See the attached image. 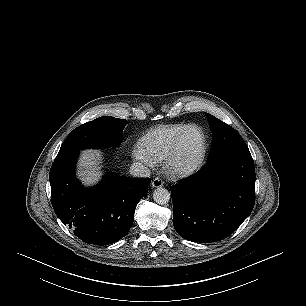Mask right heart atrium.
<instances>
[{
    "label": "right heart atrium",
    "instance_id": "obj_1",
    "mask_svg": "<svg viewBox=\"0 0 306 306\" xmlns=\"http://www.w3.org/2000/svg\"><path fill=\"white\" fill-rule=\"evenodd\" d=\"M132 155L136 161L146 166L152 167L155 164L154 159L143 148H135Z\"/></svg>",
    "mask_w": 306,
    "mask_h": 306
}]
</instances>
